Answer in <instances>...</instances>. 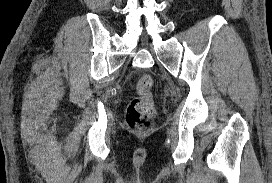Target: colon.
Listing matches in <instances>:
<instances>
[{"label":"colon","instance_id":"colon-1","mask_svg":"<svg viewBox=\"0 0 272 183\" xmlns=\"http://www.w3.org/2000/svg\"><path fill=\"white\" fill-rule=\"evenodd\" d=\"M153 80L149 75H143L137 83L138 97L132 99L127 107L126 120L134 130H147L154 117V104L151 94Z\"/></svg>","mask_w":272,"mask_h":183}]
</instances>
